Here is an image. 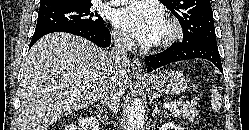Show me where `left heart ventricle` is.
Listing matches in <instances>:
<instances>
[{
  "label": "left heart ventricle",
  "instance_id": "1",
  "mask_svg": "<svg viewBox=\"0 0 249 130\" xmlns=\"http://www.w3.org/2000/svg\"><path fill=\"white\" fill-rule=\"evenodd\" d=\"M166 34H167V27L166 25H164L160 39H162Z\"/></svg>",
  "mask_w": 249,
  "mask_h": 130
}]
</instances>
